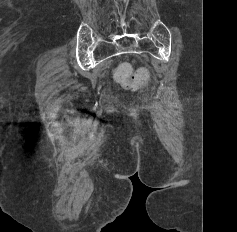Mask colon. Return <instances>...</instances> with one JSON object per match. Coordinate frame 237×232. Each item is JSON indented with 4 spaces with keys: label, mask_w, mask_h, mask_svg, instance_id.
Listing matches in <instances>:
<instances>
[{
    "label": "colon",
    "mask_w": 237,
    "mask_h": 232,
    "mask_svg": "<svg viewBox=\"0 0 237 232\" xmlns=\"http://www.w3.org/2000/svg\"><path fill=\"white\" fill-rule=\"evenodd\" d=\"M115 79L124 87L135 90L142 86L148 80V72L145 69H139L136 73L132 72L129 64H120L115 71Z\"/></svg>",
    "instance_id": "obj_1"
}]
</instances>
